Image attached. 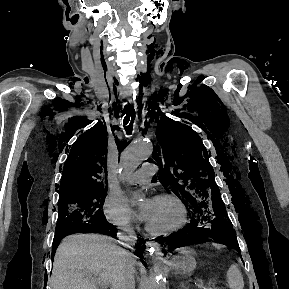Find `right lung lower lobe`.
I'll return each mask as SVG.
<instances>
[{
	"instance_id": "98d812e1",
	"label": "right lung lower lobe",
	"mask_w": 289,
	"mask_h": 289,
	"mask_svg": "<svg viewBox=\"0 0 289 289\" xmlns=\"http://www.w3.org/2000/svg\"><path fill=\"white\" fill-rule=\"evenodd\" d=\"M89 232L102 233V234H105V235H108V236L116 238L115 235L117 233V229L113 225L108 223V221L106 219H103V220L97 221V222H91V223H87V224H82L79 227L74 228L70 232V234H73V233H89ZM62 238H63L62 236H56L54 238L53 246H52V249H53L52 257H54V254H55L56 248L58 246V243H59V241ZM136 248L139 251V257H141L142 254H143V251L145 249V245H142V244L138 243Z\"/></svg>"
}]
</instances>
